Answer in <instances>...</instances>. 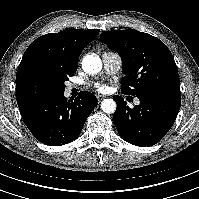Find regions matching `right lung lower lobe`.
I'll return each mask as SVG.
<instances>
[{"label": "right lung lower lobe", "mask_w": 199, "mask_h": 199, "mask_svg": "<svg viewBox=\"0 0 199 199\" xmlns=\"http://www.w3.org/2000/svg\"><path fill=\"white\" fill-rule=\"evenodd\" d=\"M17 102L27 128L46 145H63L78 138L98 104L95 95L87 91H82L74 101L61 93Z\"/></svg>", "instance_id": "right-lung-lower-lobe-1"}]
</instances>
